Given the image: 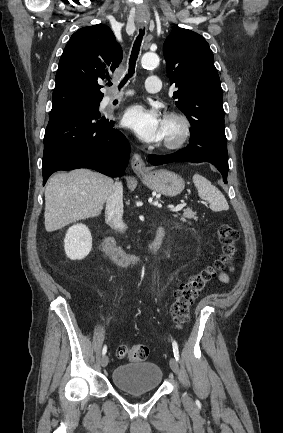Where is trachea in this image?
<instances>
[{"label":"trachea","instance_id":"trachea-1","mask_svg":"<svg viewBox=\"0 0 283 433\" xmlns=\"http://www.w3.org/2000/svg\"><path fill=\"white\" fill-rule=\"evenodd\" d=\"M144 34H145V29H140L139 34L137 35V38L134 41L133 48L131 50V55L129 58L128 73L125 76V78L120 82V85L118 87L119 89H121L125 85V83L127 82L128 78L132 77L133 74L135 73V65H136V61H137L138 56H139L141 43H142V39L144 37ZM107 85L110 87L112 85V83L109 82V83H107Z\"/></svg>","mask_w":283,"mask_h":433}]
</instances>
